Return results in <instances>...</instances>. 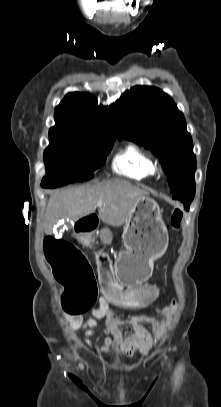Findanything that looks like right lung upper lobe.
Returning <instances> with one entry per match:
<instances>
[{
    "mask_svg": "<svg viewBox=\"0 0 221 407\" xmlns=\"http://www.w3.org/2000/svg\"><path fill=\"white\" fill-rule=\"evenodd\" d=\"M55 126L49 130L50 138L108 143L114 142V106H98L97 100L87 93H69L55 108Z\"/></svg>",
    "mask_w": 221,
    "mask_h": 407,
    "instance_id": "right-lung-upper-lobe-1",
    "label": "right lung upper lobe"
}]
</instances>
